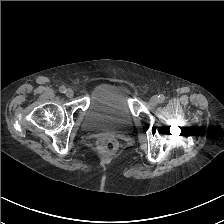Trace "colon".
<instances>
[{"label": "colon", "mask_w": 224, "mask_h": 224, "mask_svg": "<svg viewBox=\"0 0 224 224\" xmlns=\"http://www.w3.org/2000/svg\"><path fill=\"white\" fill-rule=\"evenodd\" d=\"M99 147L107 152H113L117 148V143L109 138H102L99 140Z\"/></svg>", "instance_id": "1"}]
</instances>
